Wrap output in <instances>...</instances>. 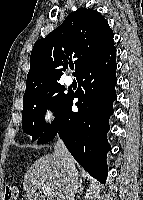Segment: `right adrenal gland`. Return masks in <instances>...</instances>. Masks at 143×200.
I'll use <instances>...</instances> for the list:
<instances>
[{
  "mask_svg": "<svg viewBox=\"0 0 143 200\" xmlns=\"http://www.w3.org/2000/svg\"><path fill=\"white\" fill-rule=\"evenodd\" d=\"M83 190H84L83 181H82V179H80V182H79V191H78L77 198H80V195L83 193Z\"/></svg>",
  "mask_w": 143,
  "mask_h": 200,
  "instance_id": "2a0ac1e0",
  "label": "right adrenal gland"
}]
</instances>
